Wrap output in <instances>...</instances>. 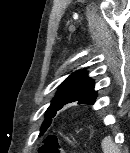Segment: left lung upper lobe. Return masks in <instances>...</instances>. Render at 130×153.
<instances>
[{
  "label": "left lung upper lobe",
  "instance_id": "left-lung-upper-lobe-1",
  "mask_svg": "<svg viewBox=\"0 0 130 153\" xmlns=\"http://www.w3.org/2000/svg\"><path fill=\"white\" fill-rule=\"evenodd\" d=\"M96 92L94 82L87 76L85 71H77L70 75L60 86L56 96L46 111V120L41 127L42 135L52 122L56 111L61 109L69 100H83L85 103H94Z\"/></svg>",
  "mask_w": 130,
  "mask_h": 153
}]
</instances>
